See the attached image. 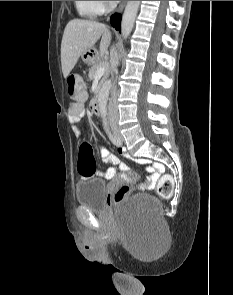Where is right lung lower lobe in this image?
<instances>
[{"mask_svg": "<svg viewBox=\"0 0 233 295\" xmlns=\"http://www.w3.org/2000/svg\"><path fill=\"white\" fill-rule=\"evenodd\" d=\"M120 20H121V16L119 14H115L111 17V24L117 30H120Z\"/></svg>", "mask_w": 233, "mask_h": 295, "instance_id": "obj_1", "label": "right lung lower lobe"}]
</instances>
